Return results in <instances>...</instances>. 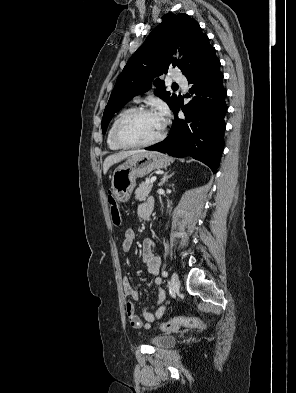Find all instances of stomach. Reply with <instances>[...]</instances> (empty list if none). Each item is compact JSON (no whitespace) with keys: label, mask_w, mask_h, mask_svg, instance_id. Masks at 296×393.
I'll use <instances>...</instances> for the list:
<instances>
[{"label":"stomach","mask_w":296,"mask_h":393,"mask_svg":"<svg viewBox=\"0 0 296 393\" xmlns=\"http://www.w3.org/2000/svg\"><path fill=\"white\" fill-rule=\"evenodd\" d=\"M170 165V159L159 152H145L132 155L119 165L111 176V189L115 199L127 202L136 186V178L144 177L157 169Z\"/></svg>","instance_id":"1"}]
</instances>
